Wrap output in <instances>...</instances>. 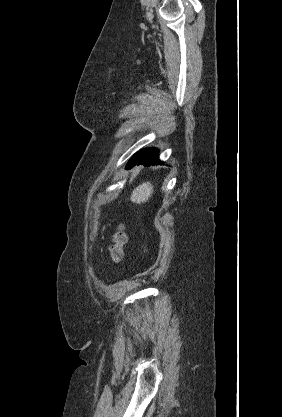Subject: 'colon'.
I'll return each instance as SVG.
<instances>
[{"mask_svg": "<svg viewBox=\"0 0 282 417\" xmlns=\"http://www.w3.org/2000/svg\"><path fill=\"white\" fill-rule=\"evenodd\" d=\"M127 241L128 236L125 230L118 229L113 234L109 245V253L113 262H119L121 260Z\"/></svg>", "mask_w": 282, "mask_h": 417, "instance_id": "1", "label": "colon"}]
</instances>
